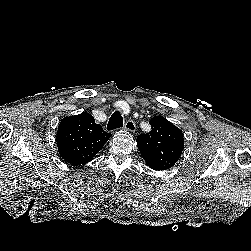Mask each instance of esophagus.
Listing matches in <instances>:
<instances>
[{"instance_id":"obj_1","label":"esophagus","mask_w":251,"mask_h":251,"mask_svg":"<svg viewBox=\"0 0 251 251\" xmlns=\"http://www.w3.org/2000/svg\"><path fill=\"white\" fill-rule=\"evenodd\" d=\"M124 129L130 133H134L136 129L135 123L131 119L127 120L124 125Z\"/></svg>"}]
</instances>
